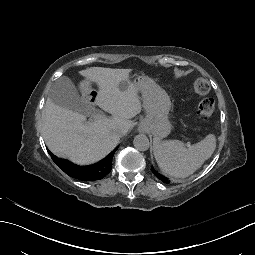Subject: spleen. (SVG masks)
Wrapping results in <instances>:
<instances>
[{
    "label": "spleen",
    "instance_id": "1",
    "mask_svg": "<svg viewBox=\"0 0 255 255\" xmlns=\"http://www.w3.org/2000/svg\"><path fill=\"white\" fill-rule=\"evenodd\" d=\"M216 147L214 134H208L201 142L185 149L181 141L161 142L155 138L153 151L159 167L175 178H184L196 171Z\"/></svg>",
    "mask_w": 255,
    "mask_h": 255
}]
</instances>
